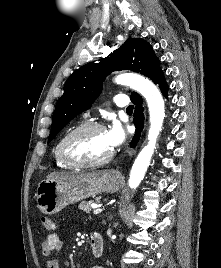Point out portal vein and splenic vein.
<instances>
[{
	"instance_id": "obj_1",
	"label": "portal vein and splenic vein",
	"mask_w": 221,
	"mask_h": 268,
	"mask_svg": "<svg viewBox=\"0 0 221 268\" xmlns=\"http://www.w3.org/2000/svg\"><path fill=\"white\" fill-rule=\"evenodd\" d=\"M101 212H102V209L100 208V206L99 207H97V206L94 207L93 214H99Z\"/></svg>"
}]
</instances>
